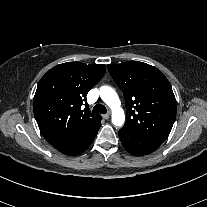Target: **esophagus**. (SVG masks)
I'll list each match as a JSON object with an SVG mask.
<instances>
[{
	"label": "esophagus",
	"instance_id": "34e87169",
	"mask_svg": "<svg viewBox=\"0 0 207 207\" xmlns=\"http://www.w3.org/2000/svg\"><path fill=\"white\" fill-rule=\"evenodd\" d=\"M109 116H110L109 114H104V115H103V118H104V119H108Z\"/></svg>",
	"mask_w": 207,
	"mask_h": 207
}]
</instances>
